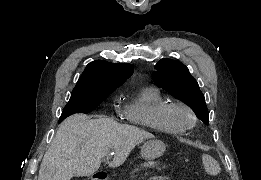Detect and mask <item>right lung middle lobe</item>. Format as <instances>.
<instances>
[{"label": "right lung middle lobe", "mask_w": 261, "mask_h": 180, "mask_svg": "<svg viewBox=\"0 0 261 180\" xmlns=\"http://www.w3.org/2000/svg\"><path fill=\"white\" fill-rule=\"evenodd\" d=\"M109 94L73 93L65 106L59 123L74 113H89L93 111Z\"/></svg>", "instance_id": "right-lung-middle-lobe-1"}]
</instances>
